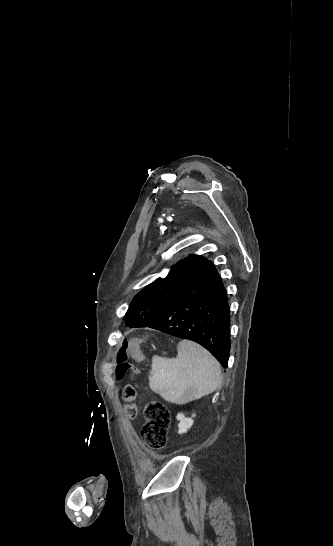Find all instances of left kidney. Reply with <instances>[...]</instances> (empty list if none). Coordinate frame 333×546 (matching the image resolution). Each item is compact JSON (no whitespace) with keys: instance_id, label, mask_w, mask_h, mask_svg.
Here are the masks:
<instances>
[{"instance_id":"5707ae66","label":"left kidney","mask_w":333,"mask_h":546,"mask_svg":"<svg viewBox=\"0 0 333 546\" xmlns=\"http://www.w3.org/2000/svg\"><path fill=\"white\" fill-rule=\"evenodd\" d=\"M176 418L177 420H179L178 433L180 434L186 433L188 429H190V427L193 425L192 418H186L183 413H179Z\"/></svg>"}]
</instances>
